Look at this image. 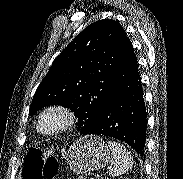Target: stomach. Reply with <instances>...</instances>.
I'll return each instance as SVG.
<instances>
[{
  "mask_svg": "<svg viewBox=\"0 0 183 179\" xmlns=\"http://www.w3.org/2000/svg\"><path fill=\"white\" fill-rule=\"evenodd\" d=\"M65 157L70 169L76 174H82L103 168L109 162L110 151L101 137L88 135L77 139Z\"/></svg>",
  "mask_w": 183,
  "mask_h": 179,
  "instance_id": "1",
  "label": "stomach"
}]
</instances>
